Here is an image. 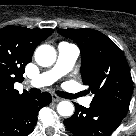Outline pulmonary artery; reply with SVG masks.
Returning <instances> with one entry per match:
<instances>
[{
    "label": "pulmonary artery",
    "instance_id": "1",
    "mask_svg": "<svg viewBox=\"0 0 136 136\" xmlns=\"http://www.w3.org/2000/svg\"><path fill=\"white\" fill-rule=\"evenodd\" d=\"M78 56L79 49L76 45L61 42L58 45V57L53 68L29 81V86L40 88L51 85L72 69ZM91 102L92 97H86L81 100L84 106H89Z\"/></svg>",
    "mask_w": 136,
    "mask_h": 136
}]
</instances>
